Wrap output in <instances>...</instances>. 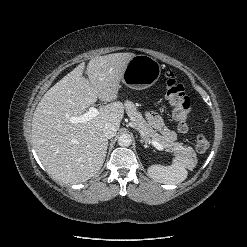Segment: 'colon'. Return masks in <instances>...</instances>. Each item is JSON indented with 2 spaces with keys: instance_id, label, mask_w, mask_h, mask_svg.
<instances>
[{
  "instance_id": "obj_1",
  "label": "colon",
  "mask_w": 247,
  "mask_h": 247,
  "mask_svg": "<svg viewBox=\"0 0 247 247\" xmlns=\"http://www.w3.org/2000/svg\"><path fill=\"white\" fill-rule=\"evenodd\" d=\"M166 99L172 108L179 131L186 132L189 127L191 101L186 94L185 86L177 80L172 72L166 75ZM195 147L198 152H204L209 148V140L204 133H199L196 136Z\"/></svg>"
}]
</instances>
